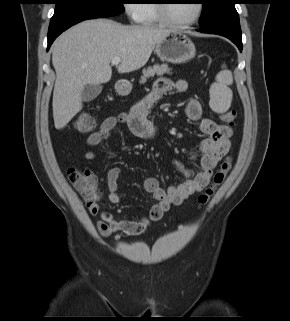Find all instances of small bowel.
Segmentation results:
<instances>
[{
  "label": "small bowel",
  "mask_w": 290,
  "mask_h": 321,
  "mask_svg": "<svg viewBox=\"0 0 290 321\" xmlns=\"http://www.w3.org/2000/svg\"><path fill=\"white\" fill-rule=\"evenodd\" d=\"M187 88L188 84L183 79H179L176 82L167 78L158 79L153 90L140 99L128 113L105 118L99 128L87 138L88 146L99 145L110 136L111 131L120 122L127 124L132 134L136 137L142 139L154 138L157 134V127L148 118L149 108L168 92L172 90L185 92ZM184 111L186 117L198 122L199 130L208 136L199 144L201 154L199 170L190 171L182 163L175 161L176 169L185 176V180L181 183L173 184L167 189H163L156 178L148 177L144 182V188L151 194L156 203L150 208L146 216L138 220L116 218L109 211L102 209L97 201L87 204L91 215L100 216L96 226L102 236L107 237L112 232L124 228L134 234L144 232L152 222L160 220L171 206L181 204L193 194L201 191L209 182L213 168L229 149L232 129L228 125L218 124L209 118L203 117L201 104L194 98L186 102ZM85 157L87 160H92L95 157V153L90 150ZM120 175L121 169L112 167L105 177L109 190L108 200L114 204L120 203L122 200L117 185Z\"/></svg>",
  "instance_id": "obj_1"
}]
</instances>
